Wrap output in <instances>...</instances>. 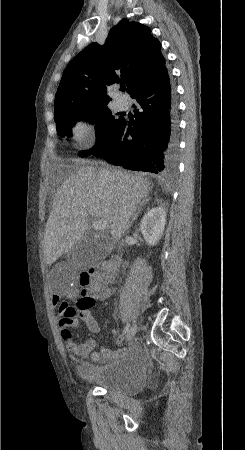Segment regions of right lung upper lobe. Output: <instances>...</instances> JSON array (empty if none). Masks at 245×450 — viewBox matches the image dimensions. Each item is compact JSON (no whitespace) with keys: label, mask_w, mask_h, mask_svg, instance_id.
I'll return each instance as SVG.
<instances>
[{"label":"right lung upper lobe","mask_w":245,"mask_h":450,"mask_svg":"<svg viewBox=\"0 0 245 450\" xmlns=\"http://www.w3.org/2000/svg\"><path fill=\"white\" fill-rule=\"evenodd\" d=\"M161 44L148 27L123 19L103 46L92 43L66 67L54 107L107 105V87L120 82L132 95L143 83L165 67Z\"/></svg>","instance_id":"right-lung-upper-lobe-1"}]
</instances>
